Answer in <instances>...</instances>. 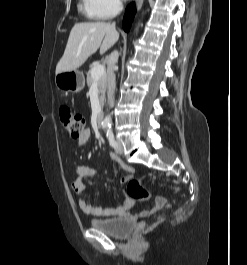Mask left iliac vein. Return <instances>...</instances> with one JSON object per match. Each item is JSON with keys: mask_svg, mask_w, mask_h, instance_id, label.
<instances>
[{"mask_svg": "<svg viewBox=\"0 0 247 265\" xmlns=\"http://www.w3.org/2000/svg\"><path fill=\"white\" fill-rule=\"evenodd\" d=\"M115 151H116V153H118L120 155L123 154V146L119 140L117 141V146L115 147Z\"/></svg>", "mask_w": 247, "mask_h": 265, "instance_id": "1", "label": "left iliac vein"}]
</instances>
